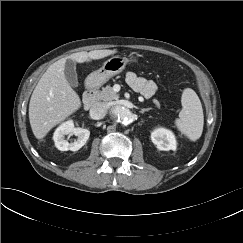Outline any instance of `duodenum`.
I'll return each mask as SVG.
<instances>
[{
    "instance_id": "1",
    "label": "duodenum",
    "mask_w": 243,
    "mask_h": 243,
    "mask_svg": "<svg viewBox=\"0 0 243 243\" xmlns=\"http://www.w3.org/2000/svg\"><path fill=\"white\" fill-rule=\"evenodd\" d=\"M98 88L95 85L88 86L83 96V106L89 110L97 101Z\"/></svg>"
}]
</instances>
